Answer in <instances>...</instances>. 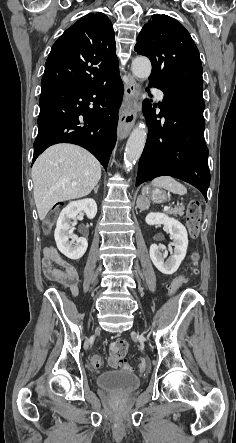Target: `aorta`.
Wrapping results in <instances>:
<instances>
[{"mask_svg":"<svg viewBox=\"0 0 236 443\" xmlns=\"http://www.w3.org/2000/svg\"><path fill=\"white\" fill-rule=\"evenodd\" d=\"M132 73L139 79H147L151 74V62L148 58L138 56L132 61ZM147 137L146 127L144 124H138L132 131L124 153V161L126 168L132 167L140 158L145 146Z\"/></svg>","mask_w":236,"mask_h":443,"instance_id":"762f6f07","label":"aorta"}]
</instances>
